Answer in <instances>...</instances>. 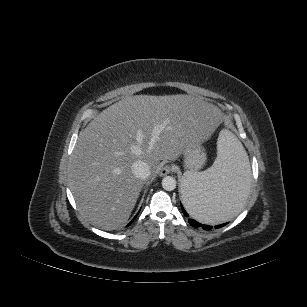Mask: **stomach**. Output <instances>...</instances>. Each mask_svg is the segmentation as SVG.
Wrapping results in <instances>:
<instances>
[{"mask_svg": "<svg viewBox=\"0 0 307 307\" xmlns=\"http://www.w3.org/2000/svg\"><path fill=\"white\" fill-rule=\"evenodd\" d=\"M185 166L190 170L201 168L206 162V153L201 142L191 140L183 150Z\"/></svg>", "mask_w": 307, "mask_h": 307, "instance_id": "0dacf381", "label": "stomach"}]
</instances>
